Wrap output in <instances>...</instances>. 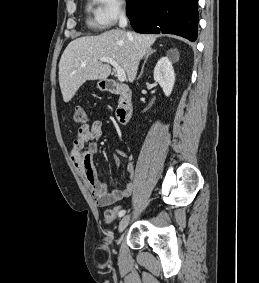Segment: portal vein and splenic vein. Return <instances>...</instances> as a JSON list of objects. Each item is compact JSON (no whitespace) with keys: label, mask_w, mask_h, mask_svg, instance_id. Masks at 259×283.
I'll use <instances>...</instances> for the list:
<instances>
[{"label":"portal vein and splenic vein","mask_w":259,"mask_h":283,"mask_svg":"<svg viewBox=\"0 0 259 283\" xmlns=\"http://www.w3.org/2000/svg\"><path fill=\"white\" fill-rule=\"evenodd\" d=\"M100 62L111 64L114 70L116 71L117 78L120 82H124L126 80L125 71L120 67V65L114 59L109 57H102L100 58Z\"/></svg>","instance_id":"18ae733b"}]
</instances>
